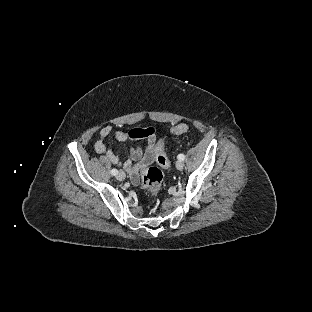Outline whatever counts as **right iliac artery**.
I'll return each mask as SVG.
<instances>
[{
  "instance_id": "82829eb1",
  "label": "right iliac artery",
  "mask_w": 312,
  "mask_h": 312,
  "mask_svg": "<svg viewBox=\"0 0 312 312\" xmlns=\"http://www.w3.org/2000/svg\"><path fill=\"white\" fill-rule=\"evenodd\" d=\"M111 174L114 175V176L117 175L118 174V170L117 169H112L111 170Z\"/></svg>"
}]
</instances>
